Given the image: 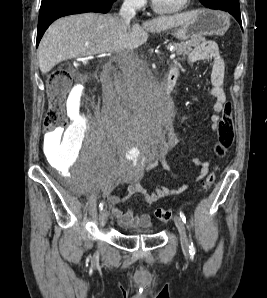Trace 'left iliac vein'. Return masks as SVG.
<instances>
[{"instance_id":"4c4485c4","label":"left iliac vein","mask_w":267,"mask_h":298,"mask_svg":"<svg viewBox=\"0 0 267 298\" xmlns=\"http://www.w3.org/2000/svg\"><path fill=\"white\" fill-rule=\"evenodd\" d=\"M174 222H175V225H176V227L179 231V234H180V241H181L182 250L185 254H188V252H189V242H188V237H187V234H186V229H185V226H184V222L182 221L181 217H179V216L174 217Z\"/></svg>"}]
</instances>
